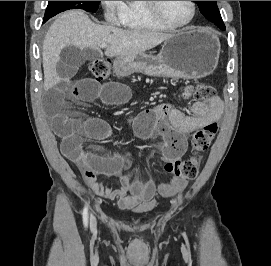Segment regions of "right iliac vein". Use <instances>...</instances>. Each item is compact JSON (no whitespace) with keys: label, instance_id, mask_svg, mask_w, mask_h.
I'll return each instance as SVG.
<instances>
[{"label":"right iliac vein","instance_id":"1","mask_svg":"<svg viewBox=\"0 0 271 266\" xmlns=\"http://www.w3.org/2000/svg\"><path fill=\"white\" fill-rule=\"evenodd\" d=\"M91 230L92 231L96 230V218H95V216L91 217Z\"/></svg>","mask_w":271,"mask_h":266}]
</instances>
